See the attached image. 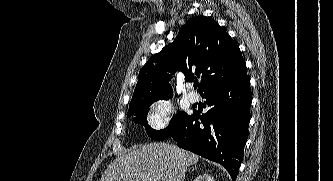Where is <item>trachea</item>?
Masks as SVG:
<instances>
[{"instance_id":"obj_1","label":"trachea","mask_w":333,"mask_h":181,"mask_svg":"<svg viewBox=\"0 0 333 181\" xmlns=\"http://www.w3.org/2000/svg\"><path fill=\"white\" fill-rule=\"evenodd\" d=\"M197 87H198V84H195V85H194V89H196Z\"/></svg>"}]
</instances>
